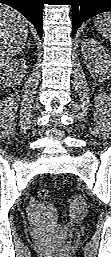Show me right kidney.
I'll use <instances>...</instances> for the list:
<instances>
[{
    "mask_svg": "<svg viewBox=\"0 0 111 257\" xmlns=\"http://www.w3.org/2000/svg\"><path fill=\"white\" fill-rule=\"evenodd\" d=\"M26 68V61L24 59H18L12 61L5 68H3L1 81L4 86L16 85L20 83L22 79L23 70Z\"/></svg>",
    "mask_w": 111,
    "mask_h": 257,
    "instance_id": "right-kidney-1",
    "label": "right kidney"
}]
</instances>
